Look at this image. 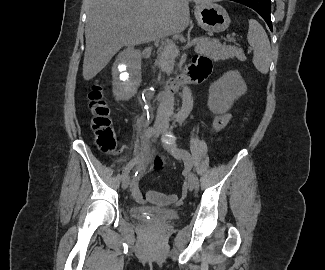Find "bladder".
Masks as SVG:
<instances>
[{
  "mask_svg": "<svg viewBox=\"0 0 325 270\" xmlns=\"http://www.w3.org/2000/svg\"><path fill=\"white\" fill-rule=\"evenodd\" d=\"M130 213L136 219H152L160 222H171L180 218L179 212L174 209L140 205L131 206Z\"/></svg>",
  "mask_w": 325,
  "mask_h": 270,
  "instance_id": "obj_1",
  "label": "bladder"
}]
</instances>
